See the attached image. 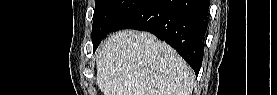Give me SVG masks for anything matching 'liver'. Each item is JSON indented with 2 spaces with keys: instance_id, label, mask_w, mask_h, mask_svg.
Listing matches in <instances>:
<instances>
[{
  "instance_id": "liver-1",
  "label": "liver",
  "mask_w": 277,
  "mask_h": 95,
  "mask_svg": "<svg viewBox=\"0 0 277 95\" xmlns=\"http://www.w3.org/2000/svg\"><path fill=\"white\" fill-rule=\"evenodd\" d=\"M96 83L104 95H191L194 72L149 32L122 30L96 55Z\"/></svg>"
}]
</instances>
